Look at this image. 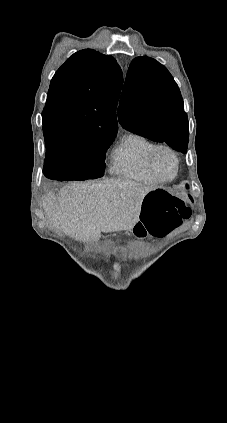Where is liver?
Segmentation results:
<instances>
[{
	"instance_id": "liver-1",
	"label": "liver",
	"mask_w": 227,
	"mask_h": 423,
	"mask_svg": "<svg viewBox=\"0 0 227 423\" xmlns=\"http://www.w3.org/2000/svg\"><path fill=\"white\" fill-rule=\"evenodd\" d=\"M151 184L107 180L97 184H67L58 198H45V217L76 241H97L101 231L132 229L139 221Z\"/></svg>"
}]
</instances>
